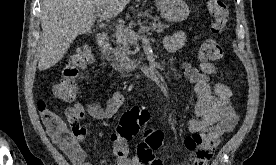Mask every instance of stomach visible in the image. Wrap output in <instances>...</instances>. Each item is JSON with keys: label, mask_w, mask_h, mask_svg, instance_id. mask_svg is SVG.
I'll list each match as a JSON object with an SVG mask.
<instances>
[{"label": "stomach", "mask_w": 276, "mask_h": 165, "mask_svg": "<svg viewBox=\"0 0 276 165\" xmlns=\"http://www.w3.org/2000/svg\"><path fill=\"white\" fill-rule=\"evenodd\" d=\"M161 15L171 22H181L189 15V7L184 0H155Z\"/></svg>", "instance_id": "obj_1"}]
</instances>
